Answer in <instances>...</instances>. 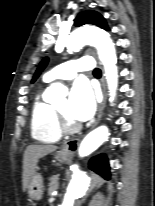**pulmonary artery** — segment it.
Segmentation results:
<instances>
[{
    "label": "pulmonary artery",
    "instance_id": "e3ab8cb5",
    "mask_svg": "<svg viewBox=\"0 0 155 206\" xmlns=\"http://www.w3.org/2000/svg\"><path fill=\"white\" fill-rule=\"evenodd\" d=\"M94 68V61L91 57H82L76 60L62 63L45 74V81L69 80L74 78L81 71H89Z\"/></svg>",
    "mask_w": 155,
    "mask_h": 206
}]
</instances>
